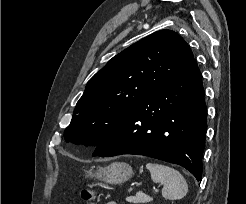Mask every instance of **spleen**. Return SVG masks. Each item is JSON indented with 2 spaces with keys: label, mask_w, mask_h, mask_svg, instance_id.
Masks as SVG:
<instances>
[{
  "label": "spleen",
  "mask_w": 246,
  "mask_h": 204,
  "mask_svg": "<svg viewBox=\"0 0 246 204\" xmlns=\"http://www.w3.org/2000/svg\"><path fill=\"white\" fill-rule=\"evenodd\" d=\"M146 168L150 171L154 183L163 184L162 196L165 199L177 200L187 194L188 184L183 175L176 169L150 162L146 164Z\"/></svg>",
  "instance_id": "1"
}]
</instances>
